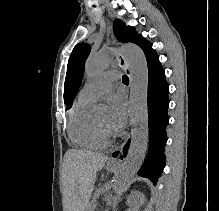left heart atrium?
<instances>
[{
    "label": "left heart atrium",
    "mask_w": 219,
    "mask_h": 211,
    "mask_svg": "<svg viewBox=\"0 0 219 211\" xmlns=\"http://www.w3.org/2000/svg\"><path fill=\"white\" fill-rule=\"evenodd\" d=\"M109 114L108 122L112 129L121 130L127 119V106L124 98L114 95L108 100Z\"/></svg>",
    "instance_id": "1"
}]
</instances>
